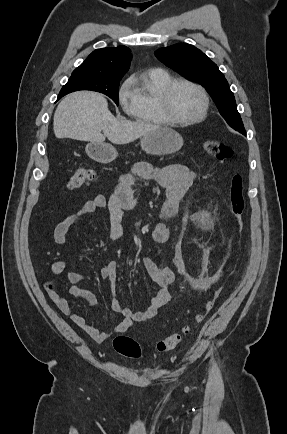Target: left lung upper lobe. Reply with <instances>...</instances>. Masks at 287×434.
Instances as JSON below:
<instances>
[{
	"instance_id": "5c2ea615",
	"label": "left lung upper lobe",
	"mask_w": 287,
	"mask_h": 434,
	"mask_svg": "<svg viewBox=\"0 0 287 434\" xmlns=\"http://www.w3.org/2000/svg\"><path fill=\"white\" fill-rule=\"evenodd\" d=\"M154 54L162 63L186 79L204 86L229 126L239 132H245L228 82L207 55L187 43L163 47Z\"/></svg>"
}]
</instances>
